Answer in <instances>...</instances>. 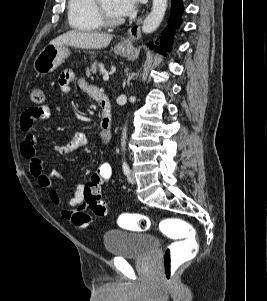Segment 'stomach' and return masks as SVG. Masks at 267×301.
Segmentation results:
<instances>
[{
    "label": "stomach",
    "mask_w": 267,
    "mask_h": 301,
    "mask_svg": "<svg viewBox=\"0 0 267 301\" xmlns=\"http://www.w3.org/2000/svg\"><path fill=\"white\" fill-rule=\"evenodd\" d=\"M114 52L118 55L125 56L128 46L117 45ZM70 54L69 49L65 45H47L36 57L34 61V69L40 75H46L55 70Z\"/></svg>",
    "instance_id": "1"
}]
</instances>
